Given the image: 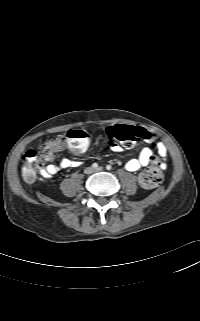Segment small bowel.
Segmentation results:
<instances>
[{"label":"small bowel","instance_id":"1","mask_svg":"<svg viewBox=\"0 0 200 321\" xmlns=\"http://www.w3.org/2000/svg\"><path fill=\"white\" fill-rule=\"evenodd\" d=\"M141 131L140 138L144 139L148 144L152 145L157 153L162 158L161 167L165 168V158L167 155V149L165 145L161 142L156 141V137L150 131L142 128L136 127ZM65 148V144L63 142L59 143V146L56 152H59ZM110 149L114 152H120L122 150L121 146L117 143L111 142ZM153 158V149L151 147H144L137 158H132L127 161L125 164V168L130 172L138 171L141 167L147 166ZM76 165L75 161H72L68 158H63L58 164L53 162V156L48 159V164L40 170V174L44 178H50L54 176L60 169H67L74 167Z\"/></svg>","mask_w":200,"mask_h":321}]
</instances>
